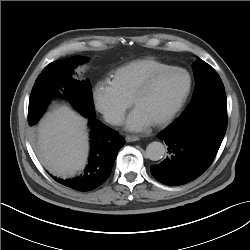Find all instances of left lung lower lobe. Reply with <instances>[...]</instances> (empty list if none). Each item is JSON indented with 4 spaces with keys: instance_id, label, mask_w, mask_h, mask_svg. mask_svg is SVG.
<instances>
[{
    "instance_id": "0a47b994",
    "label": "left lung lower lobe",
    "mask_w": 250,
    "mask_h": 250,
    "mask_svg": "<svg viewBox=\"0 0 250 250\" xmlns=\"http://www.w3.org/2000/svg\"><path fill=\"white\" fill-rule=\"evenodd\" d=\"M227 128L225 92L216 93L184 113L158 134L168 145L166 159L152 165L161 183L177 186L203 174L214 160Z\"/></svg>"
}]
</instances>
